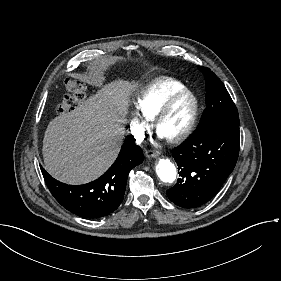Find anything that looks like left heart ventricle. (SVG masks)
<instances>
[{
  "label": "left heart ventricle",
  "mask_w": 281,
  "mask_h": 281,
  "mask_svg": "<svg viewBox=\"0 0 281 281\" xmlns=\"http://www.w3.org/2000/svg\"><path fill=\"white\" fill-rule=\"evenodd\" d=\"M193 107V100L184 96L177 100L162 119L159 134L166 138L177 133L186 123Z\"/></svg>",
  "instance_id": "b2bd125f"
}]
</instances>
